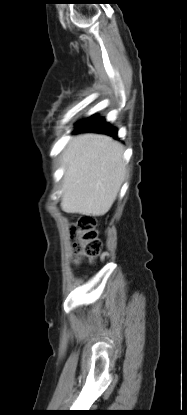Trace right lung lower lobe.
Here are the masks:
<instances>
[{
	"mask_svg": "<svg viewBox=\"0 0 187 415\" xmlns=\"http://www.w3.org/2000/svg\"><path fill=\"white\" fill-rule=\"evenodd\" d=\"M74 132H97L117 138V129L111 127L104 119L98 118L97 115H92L78 123Z\"/></svg>",
	"mask_w": 187,
	"mask_h": 415,
	"instance_id": "98d812e1",
	"label": "right lung lower lobe"
}]
</instances>
